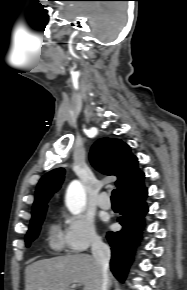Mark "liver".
<instances>
[{"mask_svg":"<svg viewBox=\"0 0 187 290\" xmlns=\"http://www.w3.org/2000/svg\"><path fill=\"white\" fill-rule=\"evenodd\" d=\"M25 290H102V276L95 259L87 254H73L42 259L25 269ZM113 284L109 275L108 287Z\"/></svg>","mask_w":187,"mask_h":290,"instance_id":"6515ba94","label":"liver"}]
</instances>
